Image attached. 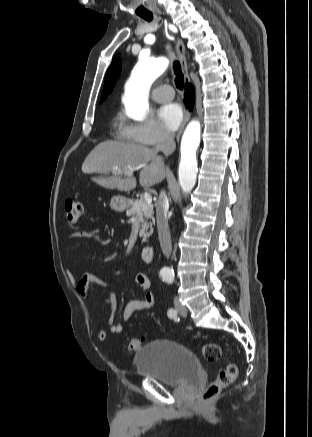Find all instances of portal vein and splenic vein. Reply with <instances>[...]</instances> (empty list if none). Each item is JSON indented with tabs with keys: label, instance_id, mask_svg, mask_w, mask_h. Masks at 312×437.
Wrapping results in <instances>:
<instances>
[{
	"label": "portal vein and splenic vein",
	"instance_id": "1",
	"mask_svg": "<svg viewBox=\"0 0 312 437\" xmlns=\"http://www.w3.org/2000/svg\"><path fill=\"white\" fill-rule=\"evenodd\" d=\"M114 169H117V168H114ZM128 176H132L133 175V172L131 171V172H127L126 173ZM143 198H144V200L148 203V204H150L151 202H152V196L149 194V193H147V192H145L144 194H143Z\"/></svg>",
	"mask_w": 312,
	"mask_h": 437
}]
</instances>
